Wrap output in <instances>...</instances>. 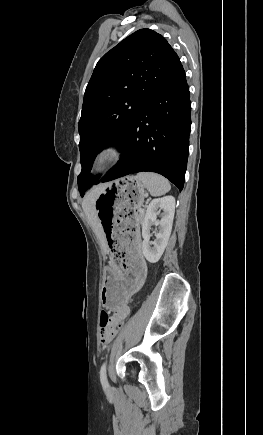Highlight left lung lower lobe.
Here are the masks:
<instances>
[{
    "instance_id": "left-lung-lower-lobe-1",
    "label": "left lung lower lobe",
    "mask_w": 263,
    "mask_h": 435,
    "mask_svg": "<svg viewBox=\"0 0 263 435\" xmlns=\"http://www.w3.org/2000/svg\"><path fill=\"white\" fill-rule=\"evenodd\" d=\"M189 87L182 64L150 97L130 127L122 159L98 182L142 171L156 172L184 186L191 129Z\"/></svg>"
}]
</instances>
